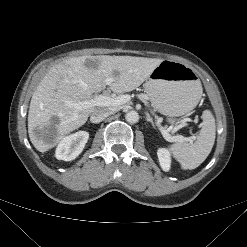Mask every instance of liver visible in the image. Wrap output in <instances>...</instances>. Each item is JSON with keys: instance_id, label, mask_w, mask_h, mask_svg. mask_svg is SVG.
Wrapping results in <instances>:
<instances>
[{"instance_id": "obj_1", "label": "liver", "mask_w": 247, "mask_h": 247, "mask_svg": "<svg viewBox=\"0 0 247 247\" xmlns=\"http://www.w3.org/2000/svg\"><path fill=\"white\" fill-rule=\"evenodd\" d=\"M162 59L133 56L85 55L67 59L50 68L32 95L28 112V133L33 146L44 153L63 137L84 125L96 109L115 106L88 107L76 110L66 101L80 102L108 86L115 93L130 92L140 86L162 62ZM55 120L52 142L39 138L34 130L44 129Z\"/></svg>"}]
</instances>
